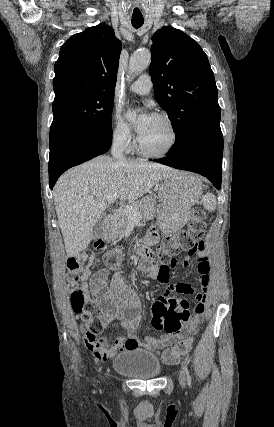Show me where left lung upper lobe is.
<instances>
[{"label": "left lung upper lobe", "mask_w": 274, "mask_h": 427, "mask_svg": "<svg viewBox=\"0 0 274 427\" xmlns=\"http://www.w3.org/2000/svg\"><path fill=\"white\" fill-rule=\"evenodd\" d=\"M150 75L157 102L168 113L179 149L199 132L220 129L218 93L209 61L198 43L167 26L152 36Z\"/></svg>", "instance_id": "5c2ea615"}]
</instances>
